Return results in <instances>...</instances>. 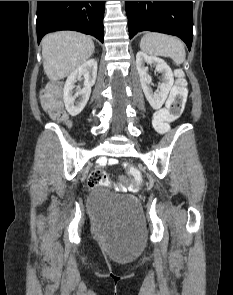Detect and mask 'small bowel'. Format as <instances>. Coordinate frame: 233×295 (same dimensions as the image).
<instances>
[{"label":"small bowel","mask_w":233,"mask_h":295,"mask_svg":"<svg viewBox=\"0 0 233 295\" xmlns=\"http://www.w3.org/2000/svg\"><path fill=\"white\" fill-rule=\"evenodd\" d=\"M107 163H108L109 165H114V164L117 163V160L114 159V158H110V159L107 161ZM117 191H119V192H124V191H126V188H125L124 186H122V185H118V186H117Z\"/></svg>","instance_id":"1"}]
</instances>
